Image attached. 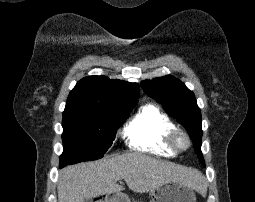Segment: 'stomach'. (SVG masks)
Returning a JSON list of instances; mask_svg holds the SVG:
<instances>
[{
	"mask_svg": "<svg viewBox=\"0 0 255 202\" xmlns=\"http://www.w3.org/2000/svg\"><path fill=\"white\" fill-rule=\"evenodd\" d=\"M151 202H196V195L193 188L171 181L152 189L149 193ZM105 202H130L126 195L116 193L108 195Z\"/></svg>",
	"mask_w": 255,
	"mask_h": 202,
	"instance_id": "0dacf381",
	"label": "stomach"
}]
</instances>
